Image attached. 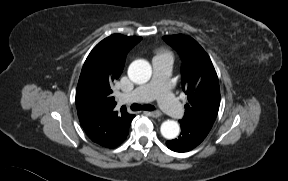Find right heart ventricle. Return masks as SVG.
<instances>
[{
	"label": "right heart ventricle",
	"mask_w": 288,
	"mask_h": 181,
	"mask_svg": "<svg viewBox=\"0 0 288 181\" xmlns=\"http://www.w3.org/2000/svg\"><path fill=\"white\" fill-rule=\"evenodd\" d=\"M158 56H169V54L168 53H161Z\"/></svg>",
	"instance_id": "1"
}]
</instances>
